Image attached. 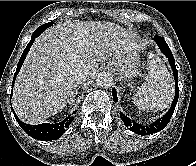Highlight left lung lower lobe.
Segmentation results:
<instances>
[{"instance_id":"0a47b994","label":"left lung lower lobe","mask_w":196,"mask_h":166,"mask_svg":"<svg viewBox=\"0 0 196 166\" xmlns=\"http://www.w3.org/2000/svg\"><path fill=\"white\" fill-rule=\"evenodd\" d=\"M154 40L158 44L162 53L165 54V56L169 60V63H170L171 68L173 70L174 79H175V91L176 92H175V96H174L173 103L171 105L170 110L163 117L159 118L158 120H156L155 122H153L150 125H147V126L140 125V124L136 123L135 121H132L127 116H125L122 112H120V117H121L122 121L124 122V125L129 130H131L139 135L153 134V133L159 132L160 130L165 128L166 125L169 123L171 116L173 115V112L175 110V106L178 101V96H179L178 71L175 66V60L172 55V52H171L170 48L168 47L166 41L162 37L156 35V36H154ZM112 96H113V100L115 102H117L118 98H117V93H116L115 88L112 89Z\"/></svg>"}]
</instances>
